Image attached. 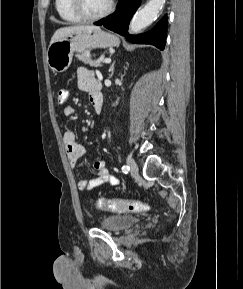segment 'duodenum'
Masks as SVG:
<instances>
[{
  "label": "duodenum",
  "mask_w": 243,
  "mask_h": 289,
  "mask_svg": "<svg viewBox=\"0 0 243 289\" xmlns=\"http://www.w3.org/2000/svg\"><path fill=\"white\" fill-rule=\"evenodd\" d=\"M94 97H95L96 108L100 112L102 108V95H101L100 87L96 88L94 92Z\"/></svg>",
  "instance_id": "duodenum-1"
}]
</instances>
